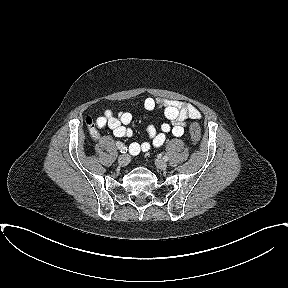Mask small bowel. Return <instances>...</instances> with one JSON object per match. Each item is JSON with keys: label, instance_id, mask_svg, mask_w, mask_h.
<instances>
[{"label": "small bowel", "instance_id": "small-bowel-1", "mask_svg": "<svg viewBox=\"0 0 288 288\" xmlns=\"http://www.w3.org/2000/svg\"><path fill=\"white\" fill-rule=\"evenodd\" d=\"M144 108L148 111L161 109L170 123H163L157 130L154 126L147 128L150 141L141 143L134 142L129 146V151L133 155L140 152H148L152 147L159 148L165 141L168 134L180 137L184 134L186 120L198 119L201 116L200 111L192 104L163 98L149 97L144 101ZM132 115L129 112H120L117 116L112 110L106 109L103 115L96 119L98 128L108 127L116 137H129L132 130L127 127L131 122Z\"/></svg>", "mask_w": 288, "mask_h": 288}]
</instances>
